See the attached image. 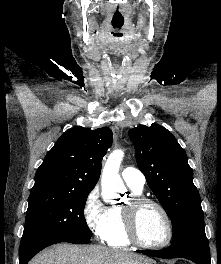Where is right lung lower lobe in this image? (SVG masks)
I'll return each instance as SVG.
<instances>
[{"label": "right lung lower lobe", "mask_w": 221, "mask_h": 264, "mask_svg": "<svg viewBox=\"0 0 221 264\" xmlns=\"http://www.w3.org/2000/svg\"><path fill=\"white\" fill-rule=\"evenodd\" d=\"M60 242H69L73 244H86L90 242V239H68V240H51V241H45V242H40L38 244H35L31 247H28L22 251H20V264H27L29 260L36 255L39 251L42 249L56 243Z\"/></svg>", "instance_id": "right-lung-lower-lobe-1"}]
</instances>
